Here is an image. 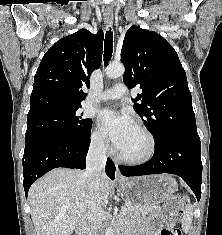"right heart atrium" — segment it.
<instances>
[{
    "label": "right heart atrium",
    "mask_w": 222,
    "mask_h": 235,
    "mask_svg": "<svg viewBox=\"0 0 222 235\" xmlns=\"http://www.w3.org/2000/svg\"><path fill=\"white\" fill-rule=\"evenodd\" d=\"M91 146L98 152H106L109 149L107 137L99 128H95L91 133Z\"/></svg>",
    "instance_id": "1"
}]
</instances>
